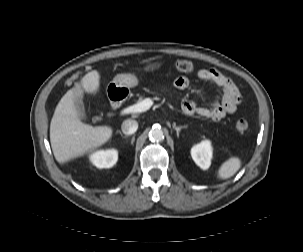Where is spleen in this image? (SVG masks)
Masks as SVG:
<instances>
[{"mask_svg": "<svg viewBox=\"0 0 303 252\" xmlns=\"http://www.w3.org/2000/svg\"><path fill=\"white\" fill-rule=\"evenodd\" d=\"M241 159L238 157H231L221 164L217 171L219 179H228L232 177L241 168Z\"/></svg>", "mask_w": 303, "mask_h": 252, "instance_id": "1", "label": "spleen"}]
</instances>
